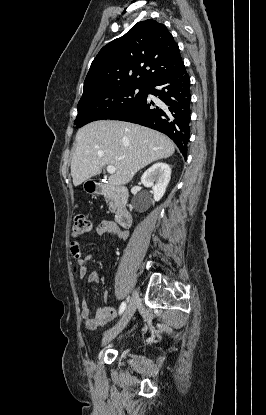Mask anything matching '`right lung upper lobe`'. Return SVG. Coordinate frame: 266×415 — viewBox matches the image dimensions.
I'll list each match as a JSON object with an SVG mask.
<instances>
[{"label": "right lung upper lobe", "instance_id": "obj_1", "mask_svg": "<svg viewBox=\"0 0 266 415\" xmlns=\"http://www.w3.org/2000/svg\"><path fill=\"white\" fill-rule=\"evenodd\" d=\"M184 65L164 24L145 20L104 46L84 81L82 98L120 86L148 87Z\"/></svg>", "mask_w": 266, "mask_h": 415}]
</instances>
